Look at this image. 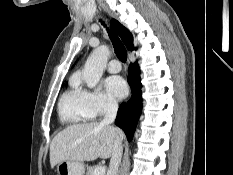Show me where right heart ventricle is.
Here are the masks:
<instances>
[{"label":"right heart ventricle","mask_w":233,"mask_h":175,"mask_svg":"<svg viewBox=\"0 0 233 175\" xmlns=\"http://www.w3.org/2000/svg\"><path fill=\"white\" fill-rule=\"evenodd\" d=\"M58 115L61 122L79 125L94 118L85 91L77 81H72L70 87L63 92L58 102Z\"/></svg>","instance_id":"right-heart-ventricle-1"}]
</instances>
